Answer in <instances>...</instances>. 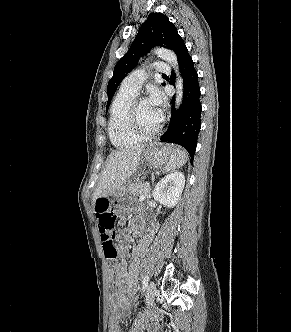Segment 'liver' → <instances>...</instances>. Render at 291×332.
<instances>
[{
    "instance_id": "6515ba94",
    "label": "liver",
    "mask_w": 291,
    "mask_h": 332,
    "mask_svg": "<svg viewBox=\"0 0 291 332\" xmlns=\"http://www.w3.org/2000/svg\"><path fill=\"white\" fill-rule=\"evenodd\" d=\"M144 150V145H137L111 153L101 172L93 201L98 198H108L122 188L139 167Z\"/></svg>"
}]
</instances>
